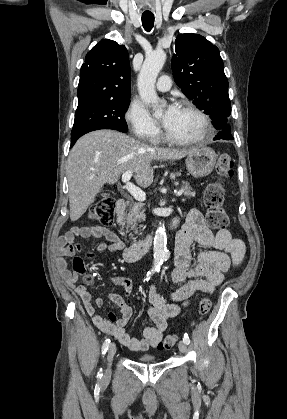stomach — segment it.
<instances>
[{
	"label": "stomach",
	"instance_id": "1",
	"mask_svg": "<svg viewBox=\"0 0 287 419\" xmlns=\"http://www.w3.org/2000/svg\"><path fill=\"white\" fill-rule=\"evenodd\" d=\"M216 161L217 155L213 149L198 147L187 155L185 162L189 173L196 178H201L213 171Z\"/></svg>",
	"mask_w": 287,
	"mask_h": 419
}]
</instances>
